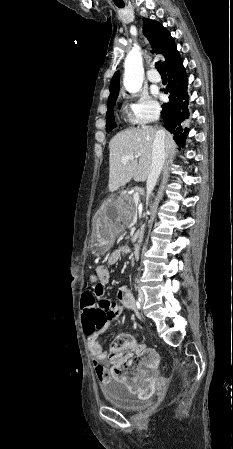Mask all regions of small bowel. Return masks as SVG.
Instances as JSON below:
<instances>
[{"mask_svg": "<svg viewBox=\"0 0 233 449\" xmlns=\"http://www.w3.org/2000/svg\"><path fill=\"white\" fill-rule=\"evenodd\" d=\"M122 256L121 250L113 251L108 259L109 265L115 264ZM93 280L88 293L95 295L94 300L99 308H106L108 317H104L103 328H83L87 336L88 347L92 356L95 374L102 385H107L111 378L126 382L125 371L133 364V358L139 357L140 361L133 369V375H129L128 381L133 390V399H150V390H154L155 378L161 375L159 357L156 351L139 344L135 339L129 338L123 342L117 353L110 356L111 370L105 367L108 353L100 342V336L109 328L111 321L118 318L123 308L133 307V295L127 286L120 287L118 291L119 303L104 299L107 296L105 288L112 278L111 272L106 265H99L96 270L90 272ZM83 320V319H82ZM116 362H119L117 365ZM119 369V371H117Z\"/></svg>", "mask_w": 233, "mask_h": 449, "instance_id": "obj_1", "label": "small bowel"}]
</instances>
